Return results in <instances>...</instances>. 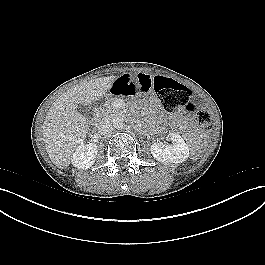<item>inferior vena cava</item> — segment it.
<instances>
[{
    "label": "inferior vena cava",
    "mask_w": 265,
    "mask_h": 265,
    "mask_svg": "<svg viewBox=\"0 0 265 265\" xmlns=\"http://www.w3.org/2000/svg\"><path fill=\"white\" fill-rule=\"evenodd\" d=\"M112 122L108 119H103L98 125V132L101 135H109L113 131Z\"/></svg>",
    "instance_id": "1"
}]
</instances>
